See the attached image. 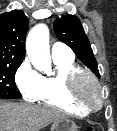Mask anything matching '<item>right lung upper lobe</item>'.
Here are the masks:
<instances>
[{
    "label": "right lung upper lobe",
    "instance_id": "cb5924a9",
    "mask_svg": "<svg viewBox=\"0 0 117 131\" xmlns=\"http://www.w3.org/2000/svg\"><path fill=\"white\" fill-rule=\"evenodd\" d=\"M28 19L21 10L0 15V63H22Z\"/></svg>",
    "mask_w": 117,
    "mask_h": 131
}]
</instances>
